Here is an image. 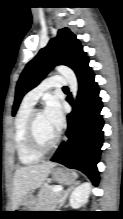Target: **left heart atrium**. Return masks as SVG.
Masks as SVG:
<instances>
[{
  "label": "left heart atrium",
  "instance_id": "1",
  "mask_svg": "<svg viewBox=\"0 0 123 219\" xmlns=\"http://www.w3.org/2000/svg\"><path fill=\"white\" fill-rule=\"evenodd\" d=\"M44 114L52 127L59 133L64 124V115L60 102L51 97L46 102Z\"/></svg>",
  "mask_w": 123,
  "mask_h": 219
}]
</instances>
